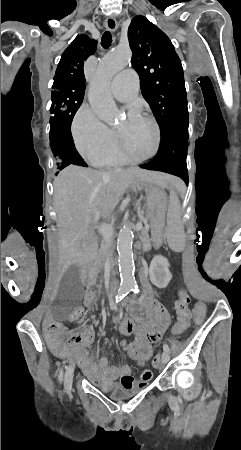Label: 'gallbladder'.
I'll return each mask as SVG.
<instances>
[{
	"mask_svg": "<svg viewBox=\"0 0 241 450\" xmlns=\"http://www.w3.org/2000/svg\"><path fill=\"white\" fill-rule=\"evenodd\" d=\"M83 288L80 280V268L72 266L65 272L60 282V291L51 303L56 323H65L74 310H79Z\"/></svg>",
	"mask_w": 241,
	"mask_h": 450,
	"instance_id": "1",
	"label": "gallbladder"
}]
</instances>
